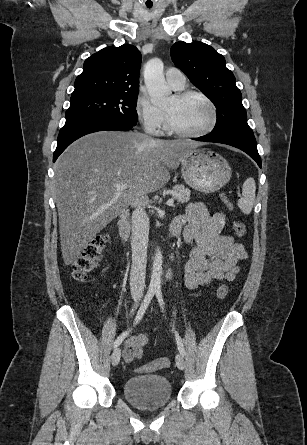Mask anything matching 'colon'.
<instances>
[{
  "label": "colon",
  "mask_w": 307,
  "mask_h": 445,
  "mask_svg": "<svg viewBox=\"0 0 307 445\" xmlns=\"http://www.w3.org/2000/svg\"><path fill=\"white\" fill-rule=\"evenodd\" d=\"M223 200L227 205V207L230 210H233L234 206L232 201L225 195H223ZM233 230L238 237H242L246 233V227L244 223L240 221H235L233 223ZM107 242H108V236L106 234L98 235L86 246L83 252L76 258L72 266L73 277L76 280L80 281L84 280L87 277V275L97 267L98 262L105 250ZM227 294H228V287L225 284L220 285L217 289L218 299L220 300L225 299ZM170 364H171L170 359L163 357L156 359L149 364L137 367L136 371L139 373L157 371L170 367Z\"/></svg>",
  "instance_id": "colon-1"
}]
</instances>
